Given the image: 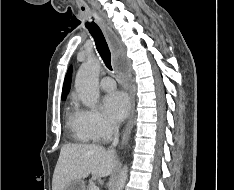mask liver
I'll use <instances>...</instances> for the list:
<instances>
[{"label": "liver", "mask_w": 234, "mask_h": 190, "mask_svg": "<svg viewBox=\"0 0 234 190\" xmlns=\"http://www.w3.org/2000/svg\"><path fill=\"white\" fill-rule=\"evenodd\" d=\"M117 164L114 152L94 144H65L60 150L53 179L52 190H64L66 185L90 174L109 176Z\"/></svg>", "instance_id": "6515ba94"}]
</instances>
